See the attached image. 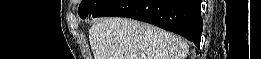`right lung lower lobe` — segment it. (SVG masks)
Segmentation results:
<instances>
[{"mask_svg":"<svg viewBox=\"0 0 261 59\" xmlns=\"http://www.w3.org/2000/svg\"><path fill=\"white\" fill-rule=\"evenodd\" d=\"M92 16L128 17L144 21L200 46L201 0H111Z\"/></svg>","mask_w":261,"mask_h":59,"instance_id":"right-lung-lower-lobe-1","label":"right lung lower lobe"}]
</instances>
